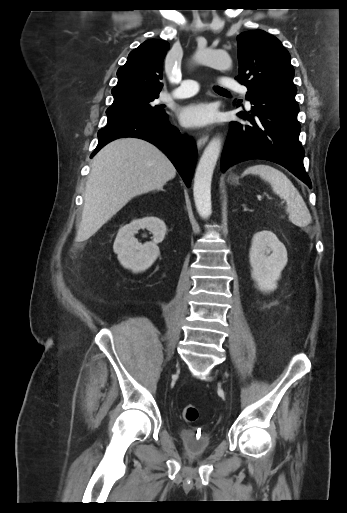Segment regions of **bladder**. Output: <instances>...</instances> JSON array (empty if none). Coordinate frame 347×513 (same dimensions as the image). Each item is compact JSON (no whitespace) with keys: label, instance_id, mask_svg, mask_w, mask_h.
Returning a JSON list of instances; mask_svg holds the SVG:
<instances>
[{"label":"bladder","instance_id":"31cf9c89","mask_svg":"<svg viewBox=\"0 0 347 513\" xmlns=\"http://www.w3.org/2000/svg\"><path fill=\"white\" fill-rule=\"evenodd\" d=\"M184 450L193 455H203L213 447L210 434L198 432L196 429L183 428L180 430Z\"/></svg>","mask_w":347,"mask_h":513}]
</instances>
